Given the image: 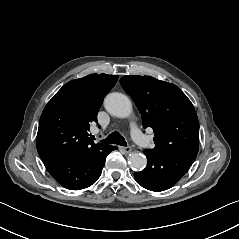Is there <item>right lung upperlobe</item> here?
<instances>
[{
    "label": "right lung upper lobe",
    "mask_w": 239,
    "mask_h": 239,
    "mask_svg": "<svg viewBox=\"0 0 239 239\" xmlns=\"http://www.w3.org/2000/svg\"><path fill=\"white\" fill-rule=\"evenodd\" d=\"M117 75L91 74L66 83L42 112L36 138L43 159L85 153L103 144L89 138L90 123L105 95L116 84Z\"/></svg>",
    "instance_id": "obj_1"
}]
</instances>
